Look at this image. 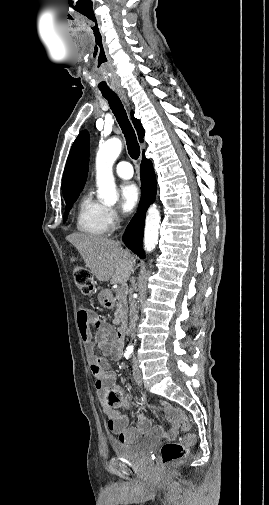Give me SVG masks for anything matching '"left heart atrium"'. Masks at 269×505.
<instances>
[{
  "label": "left heart atrium",
  "instance_id": "1",
  "mask_svg": "<svg viewBox=\"0 0 269 505\" xmlns=\"http://www.w3.org/2000/svg\"><path fill=\"white\" fill-rule=\"evenodd\" d=\"M140 200L139 187L132 182H128L121 187V208L123 212L129 213L135 209Z\"/></svg>",
  "mask_w": 269,
  "mask_h": 505
}]
</instances>
